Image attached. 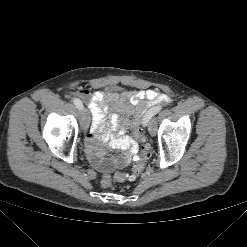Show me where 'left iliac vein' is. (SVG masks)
<instances>
[{"label":"left iliac vein","mask_w":247,"mask_h":247,"mask_svg":"<svg viewBox=\"0 0 247 247\" xmlns=\"http://www.w3.org/2000/svg\"><path fill=\"white\" fill-rule=\"evenodd\" d=\"M144 126H148L149 132L154 134L156 131V122L151 120L149 123L144 124Z\"/></svg>","instance_id":"obj_1"}]
</instances>
